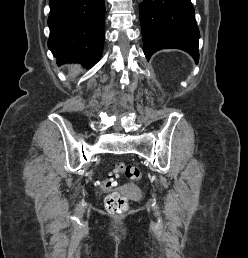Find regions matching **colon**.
Returning a JSON list of instances; mask_svg holds the SVG:
<instances>
[{"label": "colon", "instance_id": "colon-1", "mask_svg": "<svg viewBox=\"0 0 248 258\" xmlns=\"http://www.w3.org/2000/svg\"><path fill=\"white\" fill-rule=\"evenodd\" d=\"M120 176L128 184H135L142 179V171L136 165L117 162L107 177L98 180V185L103 190H112L116 185V178ZM105 206L111 214H121L127 211L128 201L121 194L112 193L106 198Z\"/></svg>", "mask_w": 248, "mask_h": 258}]
</instances>
